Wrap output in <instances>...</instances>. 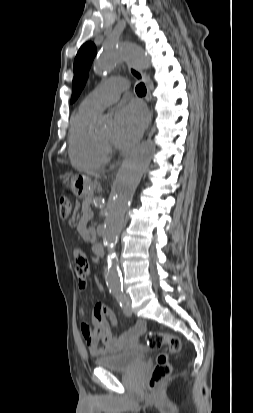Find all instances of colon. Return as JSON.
<instances>
[{"instance_id": "colon-1", "label": "colon", "mask_w": 253, "mask_h": 413, "mask_svg": "<svg viewBox=\"0 0 253 413\" xmlns=\"http://www.w3.org/2000/svg\"><path fill=\"white\" fill-rule=\"evenodd\" d=\"M71 212L72 205L70 200L66 196H61L59 199V213L61 218H69ZM145 339L147 346L152 350L165 348V351L158 355L148 382L149 391L154 392L172 373V364L170 363L169 356L181 350V341L175 335L156 331L148 332Z\"/></svg>"}]
</instances>
